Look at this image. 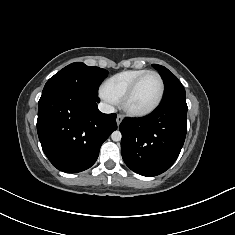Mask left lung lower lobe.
I'll use <instances>...</instances> for the list:
<instances>
[{
	"instance_id": "1",
	"label": "left lung lower lobe",
	"mask_w": 235,
	"mask_h": 235,
	"mask_svg": "<svg viewBox=\"0 0 235 235\" xmlns=\"http://www.w3.org/2000/svg\"><path fill=\"white\" fill-rule=\"evenodd\" d=\"M185 98L161 102L150 115L125 118L121 153L126 165L143 176L165 172L178 158L187 131Z\"/></svg>"
}]
</instances>
